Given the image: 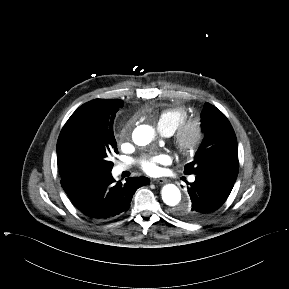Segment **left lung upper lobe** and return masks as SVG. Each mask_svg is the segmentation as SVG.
Returning a JSON list of instances; mask_svg holds the SVG:
<instances>
[{
	"instance_id": "1",
	"label": "left lung upper lobe",
	"mask_w": 289,
	"mask_h": 289,
	"mask_svg": "<svg viewBox=\"0 0 289 289\" xmlns=\"http://www.w3.org/2000/svg\"><path fill=\"white\" fill-rule=\"evenodd\" d=\"M205 138L194 160L185 165V174H212L236 180L239 169L238 147L234 130L226 116L205 103L202 111Z\"/></svg>"
}]
</instances>
